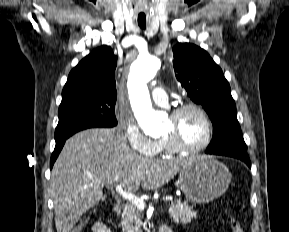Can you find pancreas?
Here are the masks:
<instances>
[{
  "label": "pancreas",
  "instance_id": "cf45deb5",
  "mask_svg": "<svg viewBox=\"0 0 289 232\" xmlns=\"http://www.w3.org/2000/svg\"><path fill=\"white\" fill-rule=\"evenodd\" d=\"M170 217L175 223H190L192 219L196 218L197 212L192 210L186 202L177 200L171 203L169 207ZM121 226L123 232H142L141 231V213L134 204L127 205L122 213Z\"/></svg>",
  "mask_w": 289,
  "mask_h": 232
}]
</instances>
